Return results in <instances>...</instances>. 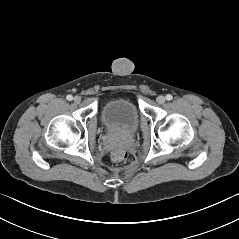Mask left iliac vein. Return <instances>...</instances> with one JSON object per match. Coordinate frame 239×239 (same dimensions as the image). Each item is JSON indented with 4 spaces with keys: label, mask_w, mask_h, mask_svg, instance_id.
Returning a JSON list of instances; mask_svg holds the SVG:
<instances>
[{
    "label": "left iliac vein",
    "mask_w": 239,
    "mask_h": 239,
    "mask_svg": "<svg viewBox=\"0 0 239 239\" xmlns=\"http://www.w3.org/2000/svg\"><path fill=\"white\" fill-rule=\"evenodd\" d=\"M158 104H163L165 102V97L160 95L156 98Z\"/></svg>",
    "instance_id": "1"
}]
</instances>
